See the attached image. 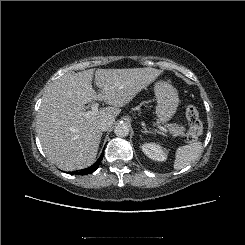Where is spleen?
<instances>
[{"label":"spleen","instance_id":"obj_1","mask_svg":"<svg viewBox=\"0 0 245 245\" xmlns=\"http://www.w3.org/2000/svg\"><path fill=\"white\" fill-rule=\"evenodd\" d=\"M201 149L202 143L199 141L178 147L175 152L174 169L180 170L190 165L198 158Z\"/></svg>","mask_w":245,"mask_h":245}]
</instances>
